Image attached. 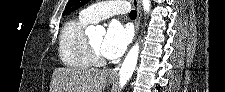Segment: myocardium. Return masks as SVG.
<instances>
[{"label": "myocardium", "mask_w": 225, "mask_h": 92, "mask_svg": "<svg viewBox=\"0 0 225 92\" xmlns=\"http://www.w3.org/2000/svg\"><path fill=\"white\" fill-rule=\"evenodd\" d=\"M88 49L90 52L92 62L96 65H104L105 63L104 59L102 58L98 50L92 45L90 40H88Z\"/></svg>", "instance_id": "f54148a6"}]
</instances>
